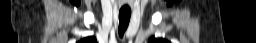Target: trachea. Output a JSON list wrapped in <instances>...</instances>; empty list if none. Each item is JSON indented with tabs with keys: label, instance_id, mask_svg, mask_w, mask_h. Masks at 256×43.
<instances>
[{
	"label": "trachea",
	"instance_id": "obj_1",
	"mask_svg": "<svg viewBox=\"0 0 256 43\" xmlns=\"http://www.w3.org/2000/svg\"><path fill=\"white\" fill-rule=\"evenodd\" d=\"M130 17H131V10L121 9L119 11L118 32H119L120 37H123L128 25H129Z\"/></svg>",
	"mask_w": 256,
	"mask_h": 43
}]
</instances>
